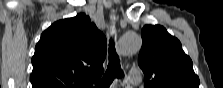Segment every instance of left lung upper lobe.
I'll return each mask as SVG.
<instances>
[{"label": "left lung upper lobe", "mask_w": 223, "mask_h": 88, "mask_svg": "<svg viewBox=\"0 0 223 88\" xmlns=\"http://www.w3.org/2000/svg\"><path fill=\"white\" fill-rule=\"evenodd\" d=\"M138 65L145 75V88H199L193 63L180 41L160 25H145Z\"/></svg>", "instance_id": "left-lung-upper-lobe-1"}]
</instances>
